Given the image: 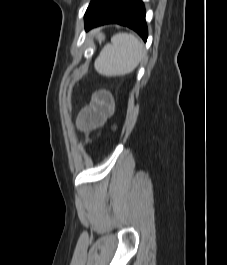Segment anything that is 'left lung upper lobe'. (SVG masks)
I'll list each match as a JSON object with an SVG mask.
<instances>
[{"label": "left lung upper lobe", "instance_id": "1", "mask_svg": "<svg viewBox=\"0 0 227 265\" xmlns=\"http://www.w3.org/2000/svg\"><path fill=\"white\" fill-rule=\"evenodd\" d=\"M106 0H91L87 11L85 13V18L90 16L96 9H98Z\"/></svg>", "mask_w": 227, "mask_h": 265}]
</instances>
